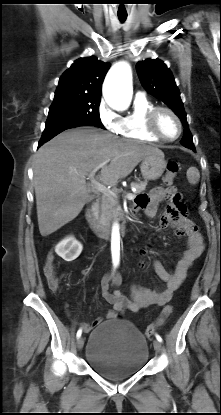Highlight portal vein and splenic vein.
<instances>
[{
  "mask_svg": "<svg viewBox=\"0 0 221 415\" xmlns=\"http://www.w3.org/2000/svg\"><path fill=\"white\" fill-rule=\"evenodd\" d=\"M110 161H105L104 163L100 164L98 167H96L90 174L89 177L92 178V186L99 192H102L103 194H111V195H116L114 190H110L108 189L105 185L101 184L100 182L96 181L93 179L94 174L96 173V171L98 169H100L101 167H103L104 165H106L107 163H109ZM126 198L128 199H132L134 197V195L132 193H126Z\"/></svg>",
  "mask_w": 221,
  "mask_h": 415,
  "instance_id": "1",
  "label": "portal vein and splenic vein"
}]
</instances>
